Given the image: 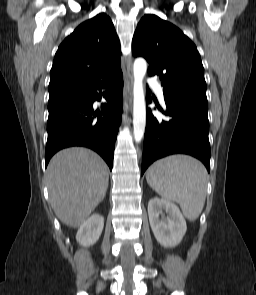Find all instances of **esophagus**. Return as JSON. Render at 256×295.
Segmentation results:
<instances>
[{"instance_id":"obj_1","label":"esophagus","mask_w":256,"mask_h":295,"mask_svg":"<svg viewBox=\"0 0 256 295\" xmlns=\"http://www.w3.org/2000/svg\"><path fill=\"white\" fill-rule=\"evenodd\" d=\"M127 77L129 79L130 82V86L133 85V71H132V57L131 55L128 57L127 60ZM129 100H131V98H129ZM125 104H128V101H125Z\"/></svg>"}]
</instances>
